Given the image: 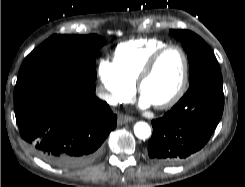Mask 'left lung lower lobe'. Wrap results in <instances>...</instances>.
Here are the masks:
<instances>
[{"label":"left lung lower lobe","mask_w":245,"mask_h":187,"mask_svg":"<svg viewBox=\"0 0 245 187\" xmlns=\"http://www.w3.org/2000/svg\"><path fill=\"white\" fill-rule=\"evenodd\" d=\"M224 94L220 72L190 85L187 93L162 118L152 121L148 158L157 164L181 162L209 140L223 113Z\"/></svg>","instance_id":"1"}]
</instances>
